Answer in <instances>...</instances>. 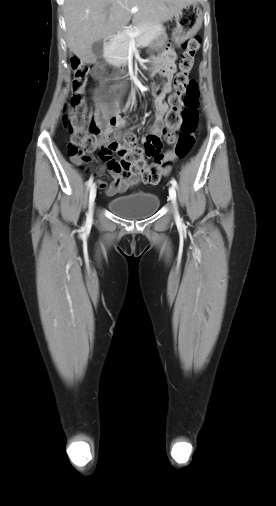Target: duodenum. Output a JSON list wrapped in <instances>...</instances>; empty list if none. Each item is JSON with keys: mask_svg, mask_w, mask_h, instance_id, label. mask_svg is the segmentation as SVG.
Here are the masks:
<instances>
[{"mask_svg": "<svg viewBox=\"0 0 276 506\" xmlns=\"http://www.w3.org/2000/svg\"><path fill=\"white\" fill-rule=\"evenodd\" d=\"M114 40H115V36H113V35L108 36V37L105 39V41H104V45H105L106 47H108V46H110V45L113 43V41H114Z\"/></svg>", "mask_w": 276, "mask_h": 506, "instance_id": "obj_1", "label": "duodenum"}]
</instances>
